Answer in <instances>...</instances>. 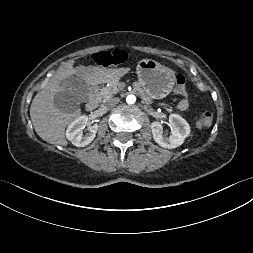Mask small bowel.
Listing matches in <instances>:
<instances>
[{"label": "small bowel", "mask_w": 253, "mask_h": 253, "mask_svg": "<svg viewBox=\"0 0 253 253\" xmlns=\"http://www.w3.org/2000/svg\"><path fill=\"white\" fill-rule=\"evenodd\" d=\"M188 106H189V101H188L187 98H183V99L179 102V104H178V108H179L180 110H186V109L188 108Z\"/></svg>", "instance_id": "small-bowel-1"}]
</instances>
